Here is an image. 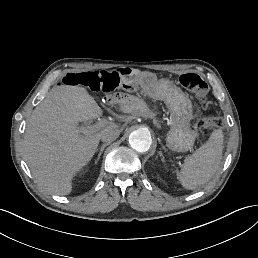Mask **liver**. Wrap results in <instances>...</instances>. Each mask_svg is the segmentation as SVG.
Instances as JSON below:
<instances>
[{
  "instance_id": "6515ba94",
  "label": "liver",
  "mask_w": 258,
  "mask_h": 258,
  "mask_svg": "<svg viewBox=\"0 0 258 258\" xmlns=\"http://www.w3.org/2000/svg\"><path fill=\"white\" fill-rule=\"evenodd\" d=\"M137 102L136 98L134 103L123 104L130 111H140ZM100 114L94 98L78 86L53 88L32 112L26 124L23 155L34 178L48 193L70 192L72 174L88 162L100 139V132L81 130L77 123L97 119Z\"/></svg>"
}]
</instances>
